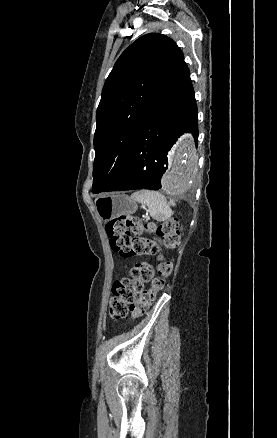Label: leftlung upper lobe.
Wrapping results in <instances>:
<instances>
[{
  "instance_id": "5c2ea615",
  "label": "left lung upper lobe",
  "mask_w": 277,
  "mask_h": 438,
  "mask_svg": "<svg viewBox=\"0 0 277 438\" xmlns=\"http://www.w3.org/2000/svg\"><path fill=\"white\" fill-rule=\"evenodd\" d=\"M150 98L197 114L183 53L172 39L158 33L146 34L132 43L106 79L96 112L93 193L103 192L122 173L140 114Z\"/></svg>"
}]
</instances>
